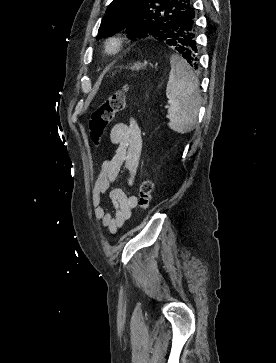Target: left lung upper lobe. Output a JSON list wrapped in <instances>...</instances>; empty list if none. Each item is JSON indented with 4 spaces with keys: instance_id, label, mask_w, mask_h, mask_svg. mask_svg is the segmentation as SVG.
<instances>
[{
    "instance_id": "1",
    "label": "left lung upper lobe",
    "mask_w": 276,
    "mask_h": 363,
    "mask_svg": "<svg viewBox=\"0 0 276 363\" xmlns=\"http://www.w3.org/2000/svg\"><path fill=\"white\" fill-rule=\"evenodd\" d=\"M191 0H113L103 17L97 38L126 30L128 37H155L166 43L177 18Z\"/></svg>"
}]
</instances>
